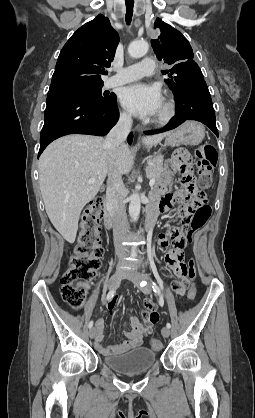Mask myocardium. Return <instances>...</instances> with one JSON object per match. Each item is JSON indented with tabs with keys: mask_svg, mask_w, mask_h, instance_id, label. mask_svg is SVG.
<instances>
[{
	"mask_svg": "<svg viewBox=\"0 0 255 418\" xmlns=\"http://www.w3.org/2000/svg\"><path fill=\"white\" fill-rule=\"evenodd\" d=\"M176 105L172 99L163 102L161 111L156 115L154 122L159 125L167 124L175 115Z\"/></svg>",
	"mask_w": 255,
	"mask_h": 418,
	"instance_id": "obj_1",
	"label": "myocardium"
}]
</instances>
